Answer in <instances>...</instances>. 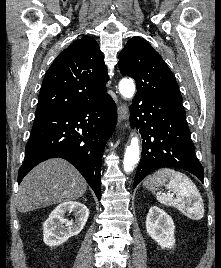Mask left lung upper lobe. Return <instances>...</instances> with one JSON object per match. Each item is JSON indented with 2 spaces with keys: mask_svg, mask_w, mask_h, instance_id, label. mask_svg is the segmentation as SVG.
<instances>
[{
  "mask_svg": "<svg viewBox=\"0 0 221 268\" xmlns=\"http://www.w3.org/2000/svg\"><path fill=\"white\" fill-rule=\"evenodd\" d=\"M119 70L136 81V95L182 103L173 73L144 39L133 37L127 42L119 55Z\"/></svg>",
  "mask_w": 221,
  "mask_h": 268,
  "instance_id": "left-lung-upper-lobe-1",
  "label": "left lung upper lobe"
}]
</instances>
